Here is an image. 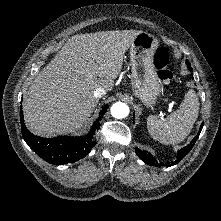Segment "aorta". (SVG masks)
Masks as SVG:
<instances>
[{"label": "aorta", "instance_id": "obj_1", "mask_svg": "<svg viewBox=\"0 0 221 221\" xmlns=\"http://www.w3.org/2000/svg\"><path fill=\"white\" fill-rule=\"evenodd\" d=\"M110 111H111V115L114 118L122 119V118H125L126 116H128V114H129V107L125 103L117 102V103H114L111 106Z\"/></svg>", "mask_w": 221, "mask_h": 221}]
</instances>
